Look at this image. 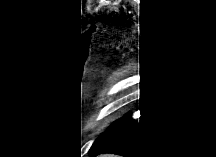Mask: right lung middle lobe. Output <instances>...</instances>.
<instances>
[{"label": "right lung middle lobe", "instance_id": "obj_1", "mask_svg": "<svg viewBox=\"0 0 216 157\" xmlns=\"http://www.w3.org/2000/svg\"><path fill=\"white\" fill-rule=\"evenodd\" d=\"M125 116V115H124ZM122 116L121 118H119L118 120H116L115 122H113L109 128H107L101 135H99L93 142L92 146L98 144L102 139H104L108 134H110L121 122V120L123 119Z\"/></svg>", "mask_w": 216, "mask_h": 157}]
</instances>
